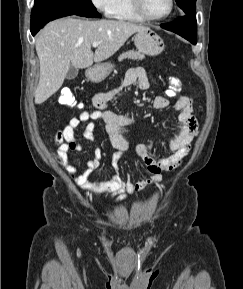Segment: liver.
I'll return each instance as SVG.
<instances>
[{
	"label": "liver",
	"mask_w": 243,
	"mask_h": 289,
	"mask_svg": "<svg viewBox=\"0 0 243 289\" xmlns=\"http://www.w3.org/2000/svg\"><path fill=\"white\" fill-rule=\"evenodd\" d=\"M146 29L126 21L61 18L48 23L36 39L40 62L36 104H41L62 86L70 65L88 68L115 54L134 33ZM99 46L92 52V43Z\"/></svg>",
	"instance_id": "6515ba94"
}]
</instances>
